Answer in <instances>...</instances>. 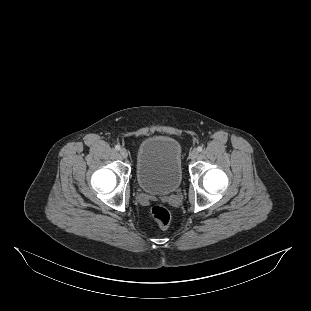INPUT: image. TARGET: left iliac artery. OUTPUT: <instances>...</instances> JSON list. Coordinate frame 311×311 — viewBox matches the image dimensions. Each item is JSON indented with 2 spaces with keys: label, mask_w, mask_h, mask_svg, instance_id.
<instances>
[{
  "label": "left iliac artery",
  "mask_w": 311,
  "mask_h": 311,
  "mask_svg": "<svg viewBox=\"0 0 311 311\" xmlns=\"http://www.w3.org/2000/svg\"><path fill=\"white\" fill-rule=\"evenodd\" d=\"M197 150H198V152H201V151L203 150L202 146H199V147L197 148Z\"/></svg>",
  "instance_id": "44dca946"
}]
</instances>
